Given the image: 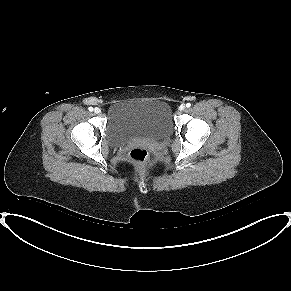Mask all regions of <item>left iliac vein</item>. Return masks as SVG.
Returning <instances> with one entry per match:
<instances>
[{
    "instance_id": "4c4485c4",
    "label": "left iliac vein",
    "mask_w": 291,
    "mask_h": 291,
    "mask_svg": "<svg viewBox=\"0 0 291 291\" xmlns=\"http://www.w3.org/2000/svg\"><path fill=\"white\" fill-rule=\"evenodd\" d=\"M184 109H185V105L184 104H182V105L179 106V110L180 111H183Z\"/></svg>"
}]
</instances>
